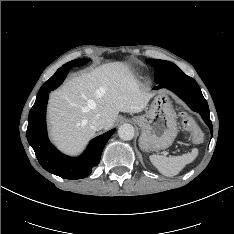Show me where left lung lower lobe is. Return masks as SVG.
Returning <instances> with one entry per match:
<instances>
[{"mask_svg":"<svg viewBox=\"0 0 234 234\" xmlns=\"http://www.w3.org/2000/svg\"><path fill=\"white\" fill-rule=\"evenodd\" d=\"M158 84L159 85L154 87V89L165 87L175 92L193 111L201 114L203 120H205L210 128L211 134L213 133L212 122L209 118L208 104L203 97L198 84L193 78L186 74H182L163 80Z\"/></svg>","mask_w":234,"mask_h":234,"instance_id":"obj_1","label":"left lung lower lobe"}]
</instances>
